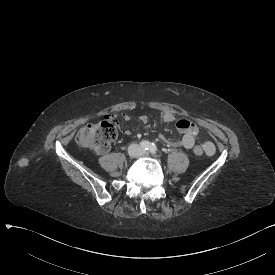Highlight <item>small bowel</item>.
<instances>
[{"mask_svg":"<svg viewBox=\"0 0 275 275\" xmlns=\"http://www.w3.org/2000/svg\"><path fill=\"white\" fill-rule=\"evenodd\" d=\"M119 116L117 111H114L112 114H106L102 117L104 122L112 121V125L115 126V129L119 131L121 135H130L131 131L126 128H122L119 124V120L116 119ZM122 120L128 121L130 116L128 114L122 113L120 115ZM162 120L166 123H172L175 121V116L172 112H165L162 116ZM141 121L146 122L147 117L141 116ZM177 129L182 133V137L179 140H170L165 138L163 135H160L159 138L161 141L166 143L169 146H182L185 149H192L195 146V138L199 133V127L192 121L182 118L176 121ZM203 147L205 152L208 155H213L215 153V146L212 142L207 141L204 143Z\"/></svg>","mask_w":275,"mask_h":275,"instance_id":"1","label":"small bowel"}]
</instances>
